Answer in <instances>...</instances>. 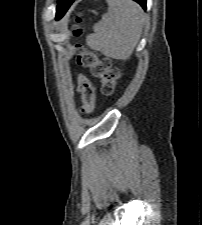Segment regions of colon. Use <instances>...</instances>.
Masks as SVG:
<instances>
[{
	"mask_svg": "<svg viewBox=\"0 0 202 225\" xmlns=\"http://www.w3.org/2000/svg\"><path fill=\"white\" fill-rule=\"evenodd\" d=\"M82 30V25L79 24L74 32L78 36L82 33ZM77 64L88 69L89 75L100 81V89L103 94L110 95L113 93L120 78V70L113 66L110 58L100 57L80 47L77 53ZM78 87L82 100L81 113L90 117L95 111V89L86 76L79 77Z\"/></svg>",
	"mask_w": 202,
	"mask_h": 225,
	"instance_id": "1",
	"label": "colon"
}]
</instances>
